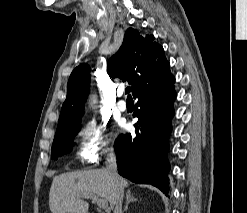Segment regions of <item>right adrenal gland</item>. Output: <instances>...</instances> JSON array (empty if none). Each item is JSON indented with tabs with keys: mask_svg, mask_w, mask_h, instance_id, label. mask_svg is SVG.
Returning a JSON list of instances; mask_svg holds the SVG:
<instances>
[{
	"mask_svg": "<svg viewBox=\"0 0 247 213\" xmlns=\"http://www.w3.org/2000/svg\"><path fill=\"white\" fill-rule=\"evenodd\" d=\"M135 201H137V199L132 195L131 190H127V192H126V204L124 206L123 211L124 212L127 211L129 203L135 202Z\"/></svg>",
	"mask_w": 247,
	"mask_h": 213,
	"instance_id": "obj_1",
	"label": "right adrenal gland"
}]
</instances>
